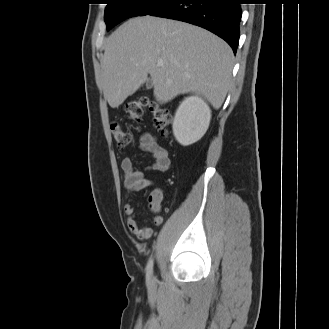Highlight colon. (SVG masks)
I'll use <instances>...</instances> for the list:
<instances>
[{"instance_id": "1", "label": "colon", "mask_w": 329, "mask_h": 329, "mask_svg": "<svg viewBox=\"0 0 329 329\" xmlns=\"http://www.w3.org/2000/svg\"><path fill=\"white\" fill-rule=\"evenodd\" d=\"M125 113L131 121L140 123L146 110L149 111L155 126L165 133L169 130L172 121L170 109L162 103L152 101L146 96H139L125 104ZM111 131L119 147L125 148L132 144L131 135L118 123L111 125Z\"/></svg>"}]
</instances>
